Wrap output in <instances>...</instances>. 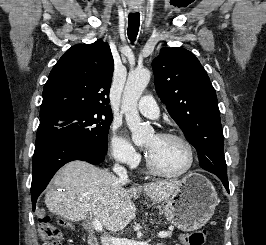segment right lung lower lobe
Here are the masks:
<instances>
[{
  "instance_id": "1",
  "label": "right lung lower lobe",
  "mask_w": 266,
  "mask_h": 245,
  "mask_svg": "<svg viewBox=\"0 0 266 245\" xmlns=\"http://www.w3.org/2000/svg\"><path fill=\"white\" fill-rule=\"evenodd\" d=\"M105 155L87 144L67 137H56L36 144L31 185L33 211L38 196L60 167L72 160H83L97 165L104 161Z\"/></svg>"
}]
</instances>
